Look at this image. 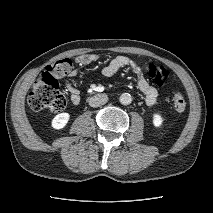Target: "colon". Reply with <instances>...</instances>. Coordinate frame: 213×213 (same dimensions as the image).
Instances as JSON below:
<instances>
[{"mask_svg":"<svg viewBox=\"0 0 213 213\" xmlns=\"http://www.w3.org/2000/svg\"><path fill=\"white\" fill-rule=\"evenodd\" d=\"M72 68L70 59H60L46 67L45 71L36 79L34 87L28 96V108L33 112L49 111L57 113L66 106V97L60 91L57 81L58 77H62L69 73ZM148 75L158 86H162L167 77V70L158 65H149L147 68ZM172 105L178 112H182L186 108L185 96L181 92L172 94Z\"/></svg>","mask_w":213,"mask_h":213,"instance_id":"obj_1","label":"colon"}]
</instances>
